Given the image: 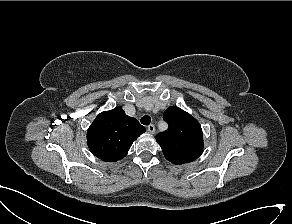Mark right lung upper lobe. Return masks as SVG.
Returning a JSON list of instances; mask_svg holds the SVG:
<instances>
[{
	"label": "right lung upper lobe",
	"mask_w": 292,
	"mask_h": 224,
	"mask_svg": "<svg viewBox=\"0 0 292 224\" xmlns=\"http://www.w3.org/2000/svg\"><path fill=\"white\" fill-rule=\"evenodd\" d=\"M145 128L125 114L122 107L100 113L87 132V144L94 156L115 162L125 157Z\"/></svg>",
	"instance_id": "cb5924a9"
}]
</instances>
